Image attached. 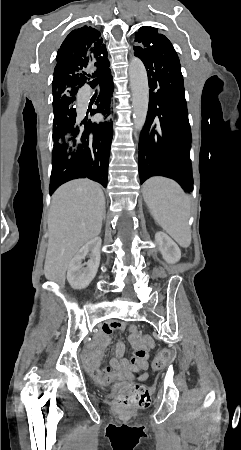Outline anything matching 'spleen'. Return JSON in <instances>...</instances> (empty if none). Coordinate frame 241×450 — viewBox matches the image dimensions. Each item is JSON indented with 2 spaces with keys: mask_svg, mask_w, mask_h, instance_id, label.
<instances>
[{
  "mask_svg": "<svg viewBox=\"0 0 241 450\" xmlns=\"http://www.w3.org/2000/svg\"><path fill=\"white\" fill-rule=\"evenodd\" d=\"M143 198L157 224L181 246L189 248L191 232L189 196L169 178H150L143 184Z\"/></svg>",
  "mask_w": 241,
  "mask_h": 450,
  "instance_id": "1",
  "label": "spleen"
}]
</instances>
